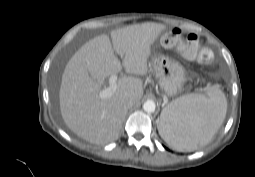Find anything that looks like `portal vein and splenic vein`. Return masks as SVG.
<instances>
[{
    "label": "portal vein and splenic vein",
    "mask_w": 255,
    "mask_h": 177,
    "mask_svg": "<svg viewBox=\"0 0 255 177\" xmlns=\"http://www.w3.org/2000/svg\"><path fill=\"white\" fill-rule=\"evenodd\" d=\"M116 82H117V75L113 74L109 77V86L99 93V97L101 99H105L111 97L114 92L116 91Z\"/></svg>",
    "instance_id": "obj_1"
}]
</instances>
